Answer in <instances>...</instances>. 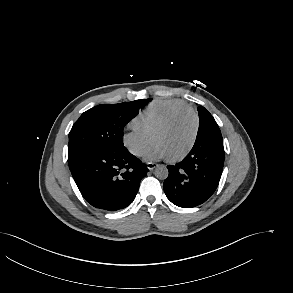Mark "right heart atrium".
Here are the masks:
<instances>
[{
  "label": "right heart atrium",
  "mask_w": 293,
  "mask_h": 293,
  "mask_svg": "<svg viewBox=\"0 0 293 293\" xmlns=\"http://www.w3.org/2000/svg\"><path fill=\"white\" fill-rule=\"evenodd\" d=\"M123 145L134 156H141L151 143V138L142 132L131 128L122 135Z\"/></svg>",
  "instance_id": "obj_1"
}]
</instances>
